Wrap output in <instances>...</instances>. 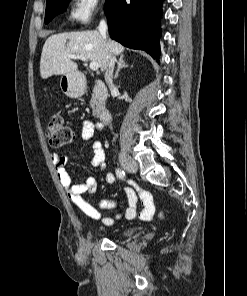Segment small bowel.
Returning <instances> with one entry per match:
<instances>
[{"label": "small bowel", "mask_w": 247, "mask_h": 296, "mask_svg": "<svg viewBox=\"0 0 247 296\" xmlns=\"http://www.w3.org/2000/svg\"><path fill=\"white\" fill-rule=\"evenodd\" d=\"M102 130V125L99 122L84 121L82 126V139L84 141H91L93 135ZM93 156L90 163L93 167L104 170L105 152L100 142L92 141ZM52 163L56 169L59 181L65 188L67 195L73 205L87 217L100 221L105 226H112L115 219L126 218L133 219L137 215L138 211V195L143 199V209L140 214L142 220H147L152 216L154 207L150 201L149 196L137 188L134 184L125 188V192L128 198V207L123 212H117L113 217L103 216L101 214L102 209H116L118 203L105 199L98 203L95 207L83 198L85 193H94L97 188V180L94 176H88L81 183H75L67 171L65 165L67 157L58 153L51 154ZM105 182L107 184H115L116 177L112 173H107L105 176Z\"/></svg>", "instance_id": "obj_1"}]
</instances>
